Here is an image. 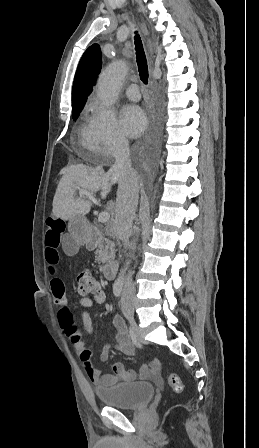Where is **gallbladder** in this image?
Returning a JSON list of instances; mask_svg holds the SVG:
<instances>
[{
  "instance_id": "gallbladder-1",
  "label": "gallbladder",
  "mask_w": 259,
  "mask_h": 448,
  "mask_svg": "<svg viewBox=\"0 0 259 448\" xmlns=\"http://www.w3.org/2000/svg\"><path fill=\"white\" fill-rule=\"evenodd\" d=\"M62 248L67 254V256H74V254H77L80 244L78 242H75L71 236H68V234H65L62 238Z\"/></svg>"
}]
</instances>
